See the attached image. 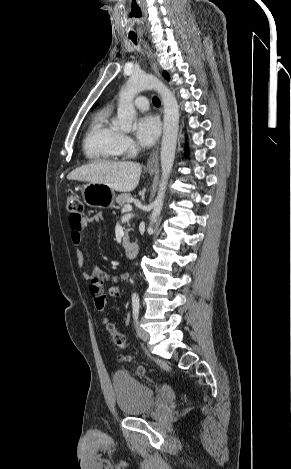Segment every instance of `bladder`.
I'll return each instance as SVG.
<instances>
[{
    "label": "bladder",
    "mask_w": 291,
    "mask_h": 469,
    "mask_svg": "<svg viewBox=\"0 0 291 469\" xmlns=\"http://www.w3.org/2000/svg\"><path fill=\"white\" fill-rule=\"evenodd\" d=\"M112 386L117 407L124 416L145 414L155 404L153 389L124 371H116L113 374Z\"/></svg>",
    "instance_id": "bladder-1"
}]
</instances>
